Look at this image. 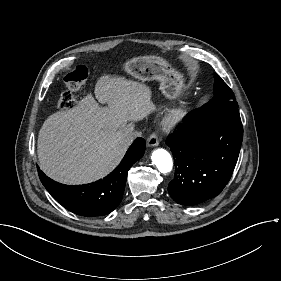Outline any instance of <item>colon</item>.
<instances>
[{"label": "colon", "instance_id": "obj_1", "mask_svg": "<svg viewBox=\"0 0 281 281\" xmlns=\"http://www.w3.org/2000/svg\"><path fill=\"white\" fill-rule=\"evenodd\" d=\"M88 69L83 65H78L63 76V83L68 88L62 92L57 100L60 111L73 109L76 105L74 90L79 89L88 78Z\"/></svg>", "mask_w": 281, "mask_h": 281}]
</instances>
